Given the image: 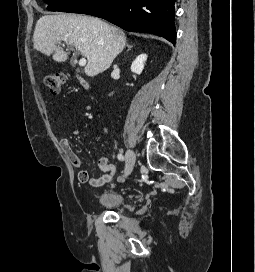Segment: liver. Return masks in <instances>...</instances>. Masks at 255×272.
I'll use <instances>...</instances> for the list:
<instances>
[{"instance_id":"obj_1","label":"liver","mask_w":255,"mask_h":272,"mask_svg":"<svg viewBox=\"0 0 255 272\" xmlns=\"http://www.w3.org/2000/svg\"><path fill=\"white\" fill-rule=\"evenodd\" d=\"M64 41L87 58L84 72L94 77L107 70L125 47V33L101 19L85 15L57 14L42 16L33 35L34 49L53 55L57 62L67 60L69 52L57 46Z\"/></svg>"}]
</instances>
